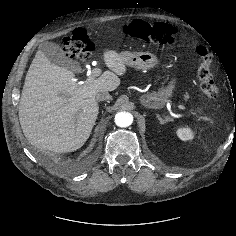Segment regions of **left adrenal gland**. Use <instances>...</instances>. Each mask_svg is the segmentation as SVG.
I'll use <instances>...</instances> for the list:
<instances>
[{
    "mask_svg": "<svg viewBox=\"0 0 236 236\" xmlns=\"http://www.w3.org/2000/svg\"><path fill=\"white\" fill-rule=\"evenodd\" d=\"M156 115H157V118H158V120H159V122H160L161 124H164V123H166V122H168V121H173V119L170 118V117H168V116H166V117H164V118H161V116H160L159 114H156Z\"/></svg>",
    "mask_w": 236,
    "mask_h": 236,
    "instance_id": "obj_1",
    "label": "left adrenal gland"
}]
</instances>
